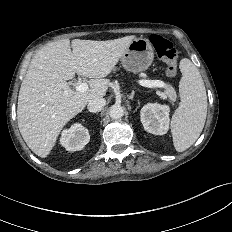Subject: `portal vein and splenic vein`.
Returning a JSON list of instances; mask_svg holds the SVG:
<instances>
[{
	"mask_svg": "<svg viewBox=\"0 0 232 232\" xmlns=\"http://www.w3.org/2000/svg\"><path fill=\"white\" fill-rule=\"evenodd\" d=\"M139 84L143 87L148 88H163L165 87V83L161 80H140ZM75 89L79 92H84L88 90L87 83L77 82L75 84Z\"/></svg>",
	"mask_w": 232,
	"mask_h": 232,
	"instance_id": "portal-vein-and-splenic-vein-1",
	"label": "portal vein and splenic vein"
}]
</instances>
